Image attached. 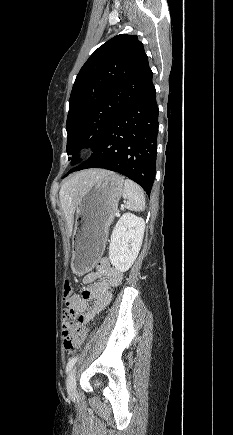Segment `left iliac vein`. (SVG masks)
I'll return each instance as SVG.
<instances>
[{
  "label": "left iliac vein",
  "instance_id": "left-iliac-vein-1",
  "mask_svg": "<svg viewBox=\"0 0 233 435\" xmlns=\"http://www.w3.org/2000/svg\"><path fill=\"white\" fill-rule=\"evenodd\" d=\"M66 388L69 396H74L76 394L75 369H72L68 374Z\"/></svg>",
  "mask_w": 233,
  "mask_h": 435
}]
</instances>
